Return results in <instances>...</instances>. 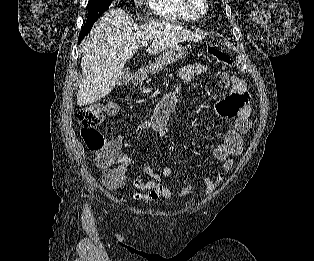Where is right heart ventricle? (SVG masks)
<instances>
[{
  "mask_svg": "<svg viewBox=\"0 0 314 261\" xmlns=\"http://www.w3.org/2000/svg\"><path fill=\"white\" fill-rule=\"evenodd\" d=\"M149 11L158 17L175 20H194L197 16L192 14L183 4L182 0H146Z\"/></svg>",
  "mask_w": 314,
  "mask_h": 261,
  "instance_id": "e07e8e85",
  "label": "right heart ventricle"
}]
</instances>
